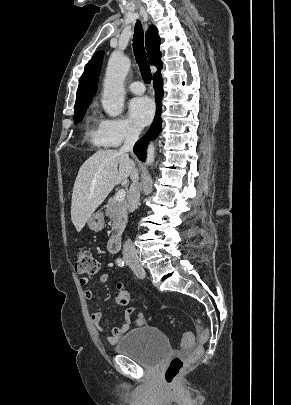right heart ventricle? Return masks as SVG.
<instances>
[{
  "mask_svg": "<svg viewBox=\"0 0 291 405\" xmlns=\"http://www.w3.org/2000/svg\"><path fill=\"white\" fill-rule=\"evenodd\" d=\"M86 136L94 145L99 147L105 146L100 136L99 122H97L96 117L94 115H91L88 118Z\"/></svg>",
  "mask_w": 291,
  "mask_h": 405,
  "instance_id": "right-heart-ventricle-1",
  "label": "right heart ventricle"
}]
</instances>
